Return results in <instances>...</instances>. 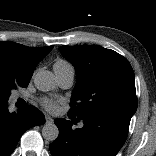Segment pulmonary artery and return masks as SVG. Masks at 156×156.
<instances>
[{
    "mask_svg": "<svg viewBox=\"0 0 156 156\" xmlns=\"http://www.w3.org/2000/svg\"><path fill=\"white\" fill-rule=\"evenodd\" d=\"M54 72L57 76L60 85L63 88H69L72 86L75 77V70L73 66L68 65L60 67L54 64Z\"/></svg>",
    "mask_w": 156,
    "mask_h": 156,
    "instance_id": "1",
    "label": "pulmonary artery"
}]
</instances>
